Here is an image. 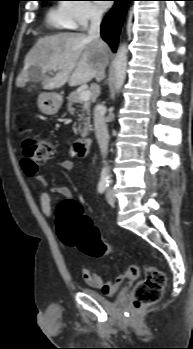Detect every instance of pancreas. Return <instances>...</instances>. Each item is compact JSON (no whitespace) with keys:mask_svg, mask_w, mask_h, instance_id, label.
I'll use <instances>...</instances> for the list:
<instances>
[{"mask_svg":"<svg viewBox=\"0 0 193 349\" xmlns=\"http://www.w3.org/2000/svg\"><path fill=\"white\" fill-rule=\"evenodd\" d=\"M67 110L71 115H74L75 108L73 107L74 103H77L81 106V110L79 111V119L78 121L82 122L79 124L78 128H74V133H80L82 136L88 135L91 130L90 124V102L84 101L80 99V93L73 91L68 97ZM83 125V128H82Z\"/></svg>","mask_w":193,"mask_h":349,"instance_id":"pancreas-1","label":"pancreas"}]
</instances>
